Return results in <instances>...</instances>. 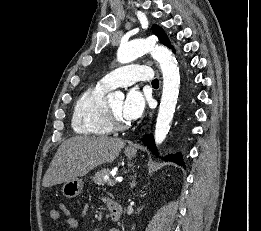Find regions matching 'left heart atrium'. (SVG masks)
<instances>
[{
  "label": "left heart atrium",
  "instance_id": "39dd6f15",
  "mask_svg": "<svg viewBox=\"0 0 261 231\" xmlns=\"http://www.w3.org/2000/svg\"><path fill=\"white\" fill-rule=\"evenodd\" d=\"M147 98L137 88L128 91L123 103V115L128 121L139 119L144 113Z\"/></svg>",
  "mask_w": 261,
  "mask_h": 231
}]
</instances>
